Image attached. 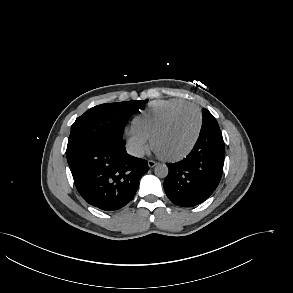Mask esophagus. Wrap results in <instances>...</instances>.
<instances>
[{"instance_id": "esophagus-1", "label": "esophagus", "mask_w": 293, "mask_h": 293, "mask_svg": "<svg viewBox=\"0 0 293 293\" xmlns=\"http://www.w3.org/2000/svg\"><path fill=\"white\" fill-rule=\"evenodd\" d=\"M156 164H157V163H156L155 161H153V160H148V166H149L150 168L155 167Z\"/></svg>"}]
</instances>
